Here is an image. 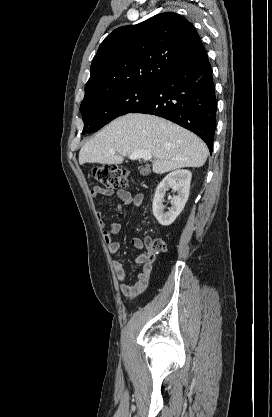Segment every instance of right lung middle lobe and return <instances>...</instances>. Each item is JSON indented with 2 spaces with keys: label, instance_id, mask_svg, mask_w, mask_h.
Here are the masks:
<instances>
[{
  "label": "right lung middle lobe",
  "instance_id": "1",
  "mask_svg": "<svg viewBox=\"0 0 272 417\" xmlns=\"http://www.w3.org/2000/svg\"><path fill=\"white\" fill-rule=\"evenodd\" d=\"M156 89L157 84L138 85L83 100L80 106L84 121L83 133L95 132L111 120L132 112L148 101Z\"/></svg>",
  "mask_w": 272,
  "mask_h": 417
}]
</instances>
